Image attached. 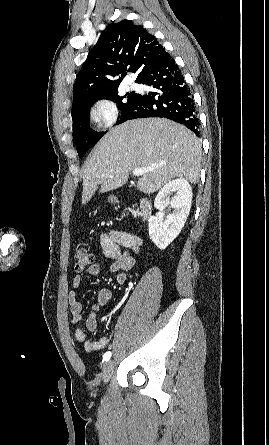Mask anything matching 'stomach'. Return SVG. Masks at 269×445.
Returning <instances> with one entry per match:
<instances>
[{
    "label": "stomach",
    "mask_w": 269,
    "mask_h": 445,
    "mask_svg": "<svg viewBox=\"0 0 269 445\" xmlns=\"http://www.w3.org/2000/svg\"><path fill=\"white\" fill-rule=\"evenodd\" d=\"M109 201H111V202H115V201H116V198H115L114 196H110V197H109Z\"/></svg>",
    "instance_id": "obj_1"
}]
</instances>
